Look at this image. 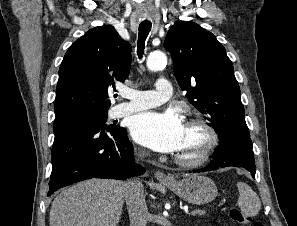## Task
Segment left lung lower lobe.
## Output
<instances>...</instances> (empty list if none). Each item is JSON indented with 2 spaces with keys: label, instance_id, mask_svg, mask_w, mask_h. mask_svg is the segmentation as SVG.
I'll return each instance as SVG.
<instances>
[{
  "label": "left lung lower lobe",
  "instance_id": "left-lung-lower-lobe-1",
  "mask_svg": "<svg viewBox=\"0 0 297 226\" xmlns=\"http://www.w3.org/2000/svg\"><path fill=\"white\" fill-rule=\"evenodd\" d=\"M215 158L207 167L195 172L216 170L218 168L236 166L250 171L255 179L256 166L252 151L251 139L245 142L225 141L218 146L213 154Z\"/></svg>",
  "mask_w": 297,
  "mask_h": 226
}]
</instances>
